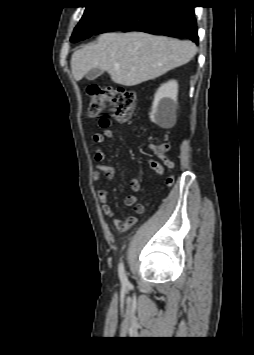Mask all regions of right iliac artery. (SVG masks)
Here are the masks:
<instances>
[{"instance_id": "1", "label": "right iliac artery", "mask_w": 254, "mask_h": 355, "mask_svg": "<svg viewBox=\"0 0 254 355\" xmlns=\"http://www.w3.org/2000/svg\"><path fill=\"white\" fill-rule=\"evenodd\" d=\"M118 272H119V277H120L121 283L123 285H127L128 284V279H127L125 271H124L123 263L119 264Z\"/></svg>"}]
</instances>
